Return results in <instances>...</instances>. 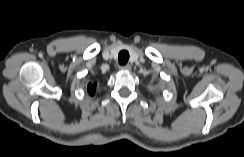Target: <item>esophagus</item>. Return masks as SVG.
<instances>
[{
    "label": "esophagus",
    "instance_id": "1",
    "mask_svg": "<svg viewBox=\"0 0 244 157\" xmlns=\"http://www.w3.org/2000/svg\"><path fill=\"white\" fill-rule=\"evenodd\" d=\"M119 69L121 71H129V70H131V65L127 64V65L119 66Z\"/></svg>",
    "mask_w": 244,
    "mask_h": 157
}]
</instances>
